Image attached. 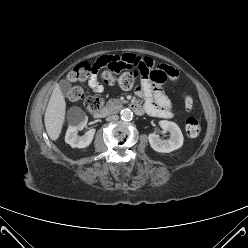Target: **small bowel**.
Here are the masks:
<instances>
[{
    "label": "small bowel",
    "instance_id": "c3829d8e",
    "mask_svg": "<svg viewBox=\"0 0 248 248\" xmlns=\"http://www.w3.org/2000/svg\"><path fill=\"white\" fill-rule=\"evenodd\" d=\"M98 62L114 70L138 69L142 72H152L157 76V79L171 78L176 81L179 76L178 72L172 67L159 64L150 57L138 56L130 52L104 56ZM88 85L96 93L104 91L103 84L95 75L88 79ZM136 94L144 99V108L142 109L149 115L158 118H170L173 116L171 101L160 85L153 87L150 79L142 80L141 85L136 89Z\"/></svg>",
    "mask_w": 248,
    "mask_h": 248
}]
</instances>
